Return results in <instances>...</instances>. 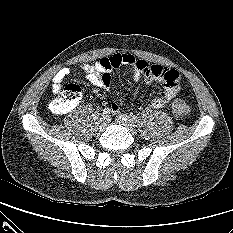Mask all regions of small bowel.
I'll return each instance as SVG.
<instances>
[{"mask_svg":"<svg viewBox=\"0 0 233 233\" xmlns=\"http://www.w3.org/2000/svg\"><path fill=\"white\" fill-rule=\"evenodd\" d=\"M120 65H129L133 69L134 79H145L149 84L159 82L163 86V95L150 102V107L154 109L163 108L177 96L180 91V75L176 70L162 67L160 65H150L144 60L136 59L127 53H115L102 57L92 64H83L81 71L86 75V79L96 87H109L110 72ZM71 70L67 67L59 69L52 80V90L58 93L63 81L69 76ZM111 109L117 113L119 106L113 103Z\"/></svg>","mask_w":233,"mask_h":233,"instance_id":"small-bowel-1","label":"small bowel"}]
</instances>
